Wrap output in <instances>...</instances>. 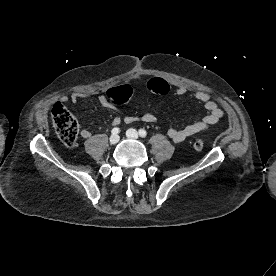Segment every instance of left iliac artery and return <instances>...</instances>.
I'll return each instance as SVG.
<instances>
[{"label":"left iliac artery","mask_w":276,"mask_h":276,"mask_svg":"<svg viewBox=\"0 0 276 276\" xmlns=\"http://www.w3.org/2000/svg\"><path fill=\"white\" fill-rule=\"evenodd\" d=\"M139 135H140L141 137H146V135H147L146 130L140 129V130H139Z\"/></svg>","instance_id":"left-iliac-artery-1"}]
</instances>
